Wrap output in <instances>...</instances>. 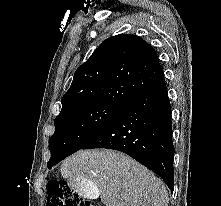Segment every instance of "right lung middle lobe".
<instances>
[{
  "label": "right lung middle lobe",
  "mask_w": 221,
  "mask_h": 206,
  "mask_svg": "<svg viewBox=\"0 0 221 206\" xmlns=\"http://www.w3.org/2000/svg\"><path fill=\"white\" fill-rule=\"evenodd\" d=\"M123 106L94 103L73 108L55 119V132L49 140L50 169L67 156L81 149L122 111Z\"/></svg>",
  "instance_id": "obj_1"
}]
</instances>
